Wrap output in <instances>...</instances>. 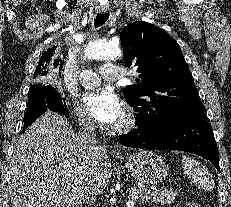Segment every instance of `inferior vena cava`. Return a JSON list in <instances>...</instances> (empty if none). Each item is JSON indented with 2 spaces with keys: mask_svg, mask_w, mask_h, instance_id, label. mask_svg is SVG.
Here are the masks:
<instances>
[{
  "mask_svg": "<svg viewBox=\"0 0 231 207\" xmlns=\"http://www.w3.org/2000/svg\"><path fill=\"white\" fill-rule=\"evenodd\" d=\"M79 132L77 135L78 146L89 156L97 154L99 146H97L95 123L89 116H82L79 120ZM83 195L88 206H93L96 203V192L93 184L88 177L83 180Z\"/></svg>",
  "mask_w": 231,
  "mask_h": 207,
  "instance_id": "obj_1",
  "label": "inferior vena cava"
}]
</instances>
